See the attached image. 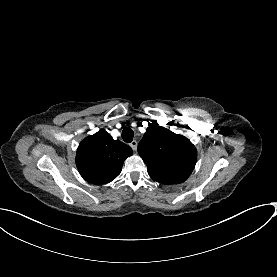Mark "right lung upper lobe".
I'll return each instance as SVG.
<instances>
[{
  "instance_id": "obj_1",
  "label": "right lung upper lobe",
  "mask_w": 277,
  "mask_h": 277,
  "mask_svg": "<svg viewBox=\"0 0 277 277\" xmlns=\"http://www.w3.org/2000/svg\"><path fill=\"white\" fill-rule=\"evenodd\" d=\"M131 155V147L100 130L79 144L76 165L86 181L104 184L120 174L125 159Z\"/></svg>"
}]
</instances>
